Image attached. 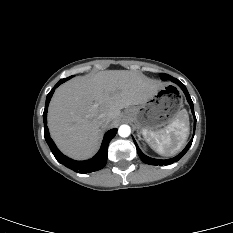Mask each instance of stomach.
<instances>
[{"mask_svg": "<svg viewBox=\"0 0 233 233\" xmlns=\"http://www.w3.org/2000/svg\"><path fill=\"white\" fill-rule=\"evenodd\" d=\"M183 109L184 98L177 89L160 87L145 102L128 107L125 117L143 134L169 125Z\"/></svg>", "mask_w": 233, "mask_h": 233, "instance_id": "stomach-1", "label": "stomach"}]
</instances>
